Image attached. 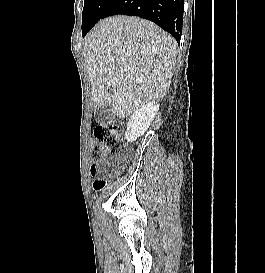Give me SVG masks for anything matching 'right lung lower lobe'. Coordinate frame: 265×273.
I'll use <instances>...</instances> for the list:
<instances>
[{"instance_id":"obj_1","label":"right lung lower lobe","mask_w":265,"mask_h":273,"mask_svg":"<svg viewBox=\"0 0 265 273\" xmlns=\"http://www.w3.org/2000/svg\"><path fill=\"white\" fill-rule=\"evenodd\" d=\"M183 12L184 0H115L103 18L117 14L139 16L155 22L179 42Z\"/></svg>"}]
</instances>
